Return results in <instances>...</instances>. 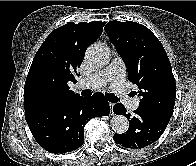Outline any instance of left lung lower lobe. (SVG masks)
I'll return each mask as SVG.
<instances>
[{
    "label": "left lung lower lobe",
    "instance_id": "obj_1",
    "mask_svg": "<svg viewBox=\"0 0 196 166\" xmlns=\"http://www.w3.org/2000/svg\"><path fill=\"white\" fill-rule=\"evenodd\" d=\"M114 113L125 115L129 128L123 134H114V141L126 148L138 149L155 142L164 132L171 117L154 111L138 108L135 115L126 114L123 104L114 105Z\"/></svg>",
    "mask_w": 196,
    "mask_h": 166
}]
</instances>
